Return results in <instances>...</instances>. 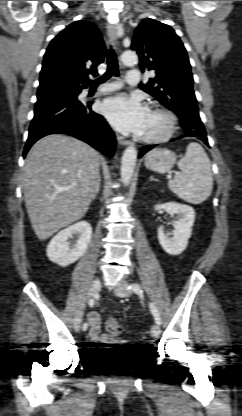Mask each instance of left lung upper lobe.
Listing matches in <instances>:
<instances>
[{
  "instance_id": "5c2ea615",
  "label": "left lung upper lobe",
  "mask_w": 242,
  "mask_h": 416,
  "mask_svg": "<svg viewBox=\"0 0 242 416\" xmlns=\"http://www.w3.org/2000/svg\"><path fill=\"white\" fill-rule=\"evenodd\" d=\"M131 48L140 57L141 70L156 73L140 88L175 112L182 126H192L197 133L206 134L193 90L191 65L174 30L156 20H144L135 30Z\"/></svg>"
}]
</instances>
